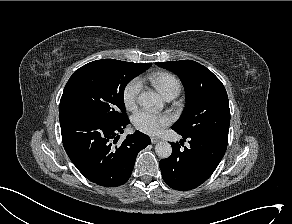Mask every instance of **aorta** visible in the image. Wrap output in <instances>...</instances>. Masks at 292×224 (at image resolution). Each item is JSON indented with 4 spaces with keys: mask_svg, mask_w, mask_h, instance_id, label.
<instances>
[{
    "mask_svg": "<svg viewBox=\"0 0 292 224\" xmlns=\"http://www.w3.org/2000/svg\"><path fill=\"white\" fill-rule=\"evenodd\" d=\"M138 101L145 108L160 109L163 106L161 97L153 91L142 92L138 97ZM155 152L161 158H168L172 154V146L166 141H161L156 144Z\"/></svg>",
    "mask_w": 292,
    "mask_h": 224,
    "instance_id": "1",
    "label": "aorta"
}]
</instances>
